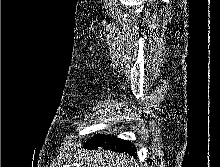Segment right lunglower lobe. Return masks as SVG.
Returning <instances> with one entry per match:
<instances>
[{
    "label": "right lung lower lobe",
    "instance_id": "98d812e1",
    "mask_svg": "<svg viewBox=\"0 0 220 167\" xmlns=\"http://www.w3.org/2000/svg\"><path fill=\"white\" fill-rule=\"evenodd\" d=\"M84 147L87 149H97L98 147H102L103 149L125 153L136 157V149L133 145L117 137L97 135L90 139Z\"/></svg>",
    "mask_w": 220,
    "mask_h": 167
}]
</instances>
